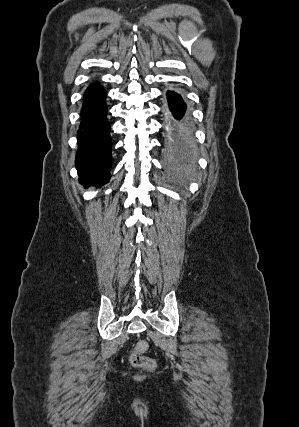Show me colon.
I'll list each match as a JSON object with an SVG mask.
<instances>
[{"label":"colon","mask_w":299,"mask_h":427,"mask_svg":"<svg viewBox=\"0 0 299 427\" xmlns=\"http://www.w3.org/2000/svg\"><path fill=\"white\" fill-rule=\"evenodd\" d=\"M148 343L139 341L129 354V362L132 366L151 371L156 367V361L143 353L147 351Z\"/></svg>","instance_id":"obj_1"}]
</instances>
